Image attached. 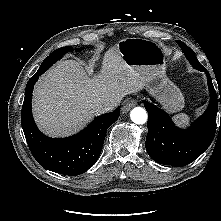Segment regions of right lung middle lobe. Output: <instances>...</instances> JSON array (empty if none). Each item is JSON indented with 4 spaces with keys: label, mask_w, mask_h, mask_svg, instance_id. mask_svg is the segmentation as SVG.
<instances>
[{
    "label": "right lung middle lobe",
    "mask_w": 221,
    "mask_h": 221,
    "mask_svg": "<svg viewBox=\"0 0 221 221\" xmlns=\"http://www.w3.org/2000/svg\"><path fill=\"white\" fill-rule=\"evenodd\" d=\"M74 49L72 47H62L53 51L41 64L39 69H48L53 63L58 61L67 52H72ZM75 51H81L80 48H76Z\"/></svg>",
    "instance_id": "right-lung-middle-lobe-1"
}]
</instances>
